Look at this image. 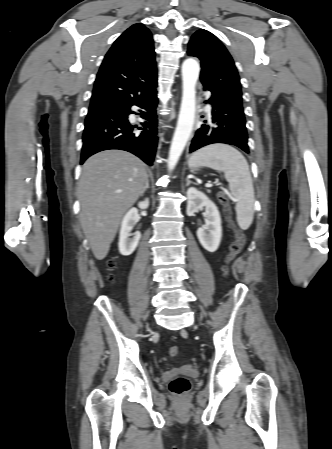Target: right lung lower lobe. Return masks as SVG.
<instances>
[{
    "label": "right lung lower lobe",
    "mask_w": 332,
    "mask_h": 449,
    "mask_svg": "<svg viewBox=\"0 0 332 449\" xmlns=\"http://www.w3.org/2000/svg\"><path fill=\"white\" fill-rule=\"evenodd\" d=\"M157 92L156 89L146 97L133 100L122 106L88 114L83 132L81 164L91 155L109 149L131 152L148 165H152L157 149ZM132 106L139 108L145 121L137 126L128 121L129 114L135 113ZM138 114V113H135Z\"/></svg>",
    "instance_id": "right-lung-lower-lobe-1"
}]
</instances>
